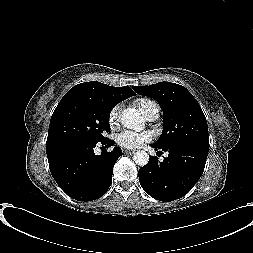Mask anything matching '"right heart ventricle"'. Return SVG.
Listing matches in <instances>:
<instances>
[{"instance_id": "e07e8e85", "label": "right heart ventricle", "mask_w": 253, "mask_h": 253, "mask_svg": "<svg viewBox=\"0 0 253 253\" xmlns=\"http://www.w3.org/2000/svg\"><path fill=\"white\" fill-rule=\"evenodd\" d=\"M152 101L151 100H148V99H141L139 101H137V106L139 108V110L144 114L146 115V112L150 106V103Z\"/></svg>"}]
</instances>
